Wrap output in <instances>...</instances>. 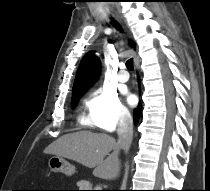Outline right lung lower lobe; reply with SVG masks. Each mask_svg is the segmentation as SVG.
Here are the masks:
<instances>
[{
  "label": "right lung lower lobe",
  "instance_id": "obj_1",
  "mask_svg": "<svg viewBox=\"0 0 210 191\" xmlns=\"http://www.w3.org/2000/svg\"><path fill=\"white\" fill-rule=\"evenodd\" d=\"M140 108H141V106L139 104L138 109H135V111H134V122H135V124L138 122V114L140 113Z\"/></svg>",
  "mask_w": 210,
  "mask_h": 191
}]
</instances>
